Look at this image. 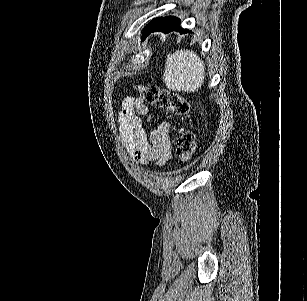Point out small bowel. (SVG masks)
Instances as JSON below:
<instances>
[{
    "instance_id": "small-bowel-1",
    "label": "small bowel",
    "mask_w": 307,
    "mask_h": 301,
    "mask_svg": "<svg viewBox=\"0 0 307 301\" xmlns=\"http://www.w3.org/2000/svg\"><path fill=\"white\" fill-rule=\"evenodd\" d=\"M144 118L150 119L144 100L125 98L118 115L121 141L136 163L163 166L171 158L170 124L163 121L148 133L143 125Z\"/></svg>"
}]
</instances>
